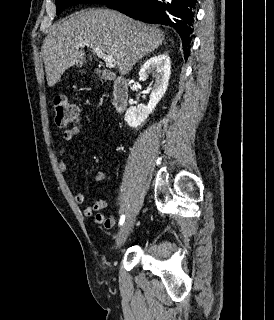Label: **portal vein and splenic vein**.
I'll list each match as a JSON object with an SVG mask.
<instances>
[{"mask_svg":"<svg viewBox=\"0 0 274 320\" xmlns=\"http://www.w3.org/2000/svg\"><path fill=\"white\" fill-rule=\"evenodd\" d=\"M78 46H87V48H92L95 54H97L98 58H102V60H104L107 68H115L116 66L115 58H113V56H108V54H105V52H102L100 48H93V46H90V44H85V42H82V44H78Z\"/></svg>","mask_w":274,"mask_h":320,"instance_id":"obj_1","label":"portal vein and splenic vein"}]
</instances>
